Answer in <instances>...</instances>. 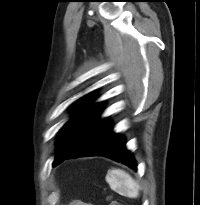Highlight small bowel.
<instances>
[{"label":"small bowel","instance_id":"c3829d8e","mask_svg":"<svg viewBox=\"0 0 200 205\" xmlns=\"http://www.w3.org/2000/svg\"><path fill=\"white\" fill-rule=\"evenodd\" d=\"M79 205H92V204H89V203H79Z\"/></svg>","mask_w":200,"mask_h":205}]
</instances>
